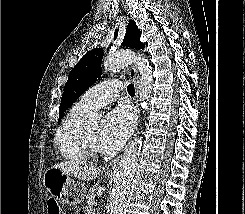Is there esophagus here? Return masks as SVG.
<instances>
[{
    "label": "esophagus",
    "instance_id": "esophagus-1",
    "mask_svg": "<svg viewBox=\"0 0 245 214\" xmlns=\"http://www.w3.org/2000/svg\"><path fill=\"white\" fill-rule=\"evenodd\" d=\"M129 76H130V78L133 81L134 86H135V105H136V111H137L136 124H138L139 118H140V104H139L140 82H139V74H138V71H137L135 66H130ZM118 162H119V158H116L109 163V166L114 167V166H116V164Z\"/></svg>",
    "mask_w": 245,
    "mask_h": 214
}]
</instances>
